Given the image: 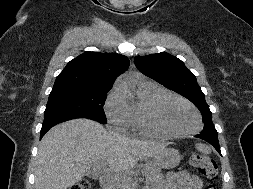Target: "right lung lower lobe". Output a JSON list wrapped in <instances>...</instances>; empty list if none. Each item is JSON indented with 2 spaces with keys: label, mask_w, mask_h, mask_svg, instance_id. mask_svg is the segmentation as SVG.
Listing matches in <instances>:
<instances>
[{
  "label": "right lung lower lobe",
  "mask_w": 253,
  "mask_h": 189,
  "mask_svg": "<svg viewBox=\"0 0 253 189\" xmlns=\"http://www.w3.org/2000/svg\"><path fill=\"white\" fill-rule=\"evenodd\" d=\"M68 119H72L70 117H60V118H52V119H47L44 120L43 125H42V129L40 132V139L44 136V134L53 126H55L56 124L63 122L65 120Z\"/></svg>",
  "instance_id": "1"
}]
</instances>
